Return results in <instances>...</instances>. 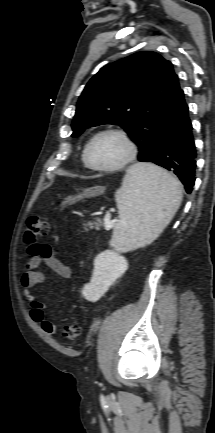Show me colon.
<instances>
[{
	"instance_id": "1",
	"label": "colon",
	"mask_w": 215,
	"mask_h": 433,
	"mask_svg": "<svg viewBox=\"0 0 215 433\" xmlns=\"http://www.w3.org/2000/svg\"><path fill=\"white\" fill-rule=\"evenodd\" d=\"M49 230V223L46 219L39 217H30L27 220L26 229L24 233V241L29 245H35L39 239L44 237ZM80 335V326L77 324H70L65 326L63 330L64 338L68 340H75Z\"/></svg>"
}]
</instances>
